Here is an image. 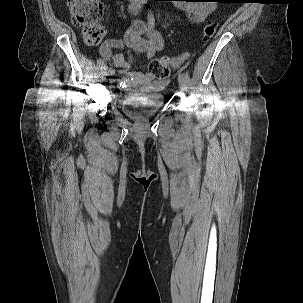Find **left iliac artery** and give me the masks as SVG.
Wrapping results in <instances>:
<instances>
[{"instance_id":"obj_1","label":"left iliac artery","mask_w":303,"mask_h":303,"mask_svg":"<svg viewBox=\"0 0 303 303\" xmlns=\"http://www.w3.org/2000/svg\"><path fill=\"white\" fill-rule=\"evenodd\" d=\"M151 15H152V14H151ZM184 75H185V77H186L187 85L190 86V85L192 84V80H191V78H190V76H189V73L186 71V72L184 73Z\"/></svg>"}]
</instances>
